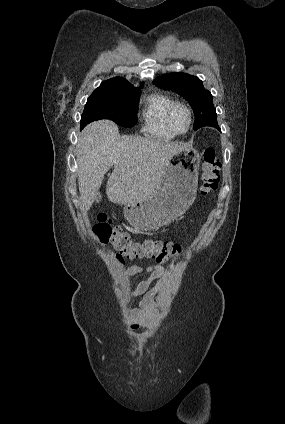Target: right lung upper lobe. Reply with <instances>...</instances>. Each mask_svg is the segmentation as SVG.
Masks as SVG:
<instances>
[{"label": "right lung upper lobe", "mask_w": 285, "mask_h": 424, "mask_svg": "<svg viewBox=\"0 0 285 424\" xmlns=\"http://www.w3.org/2000/svg\"><path fill=\"white\" fill-rule=\"evenodd\" d=\"M134 88L126 79L122 77H114L109 80L103 81L95 91Z\"/></svg>", "instance_id": "right-lung-upper-lobe-1"}]
</instances>
